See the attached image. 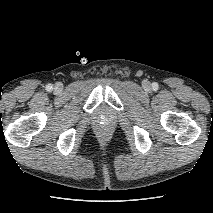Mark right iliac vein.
Instances as JSON below:
<instances>
[{
    "label": "right iliac vein",
    "instance_id": "1",
    "mask_svg": "<svg viewBox=\"0 0 213 213\" xmlns=\"http://www.w3.org/2000/svg\"><path fill=\"white\" fill-rule=\"evenodd\" d=\"M61 89V86L60 85H57L56 87H55V90L56 91H59Z\"/></svg>",
    "mask_w": 213,
    "mask_h": 213
}]
</instances>
